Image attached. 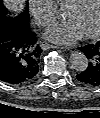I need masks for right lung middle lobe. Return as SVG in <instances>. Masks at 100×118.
<instances>
[{"instance_id": "dd1d6c3e", "label": "right lung middle lobe", "mask_w": 100, "mask_h": 118, "mask_svg": "<svg viewBox=\"0 0 100 118\" xmlns=\"http://www.w3.org/2000/svg\"><path fill=\"white\" fill-rule=\"evenodd\" d=\"M29 9L28 5L25 11L18 16H11L8 14L3 7H1V18H0V31L6 28H10L12 30L25 29L28 27V19H29Z\"/></svg>"}]
</instances>
